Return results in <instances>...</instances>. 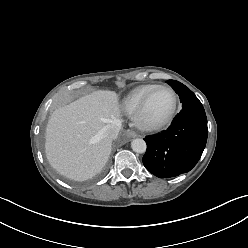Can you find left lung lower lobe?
I'll list each match as a JSON object with an SVG mask.
<instances>
[{"label": "left lung lower lobe", "mask_w": 248, "mask_h": 248, "mask_svg": "<svg viewBox=\"0 0 248 248\" xmlns=\"http://www.w3.org/2000/svg\"><path fill=\"white\" fill-rule=\"evenodd\" d=\"M207 136L206 114L196 99L182 108L166 131L144 138L147 150L143 164L160 178L188 172L200 159Z\"/></svg>", "instance_id": "1"}]
</instances>
